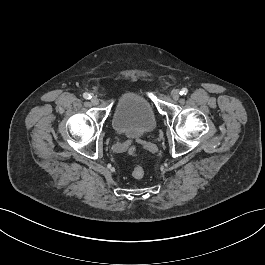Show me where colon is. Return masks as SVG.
<instances>
[{
    "label": "colon",
    "mask_w": 265,
    "mask_h": 265,
    "mask_svg": "<svg viewBox=\"0 0 265 265\" xmlns=\"http://www.w3.org/2000/svg\"><path fill=\"white\" fill-rule=\"evenodd\" d=\"M130 153L134 155L135 149L134 148L131 149ZM145 173H146V169H145L143 162L140 160L136 161L132 167V176L136 179H141L144 177Z\"/></svg>",
    "instance_id": "5ec220e1"
}]
</instances>
